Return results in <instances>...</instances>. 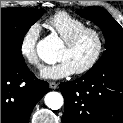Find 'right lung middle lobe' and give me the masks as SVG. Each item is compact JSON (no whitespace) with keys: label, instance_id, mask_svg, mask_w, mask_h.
Listing matches in <instances>:
<instances>
[{"label":"right lung middle lobe","instance_id":"obj_1","mask_svg":"<svg viewBox=\"0 0 123 123\" xmlns=\"http://www.w3.org/2000/svg\"><path fill=\"white\" fill-rule=\"evenodd\" d=\"M44 11L23 7L1 9V59L24 62L21 53L24 36Z\"/></svg>","mask_w":123,"mask_h":123}]
</instances>
